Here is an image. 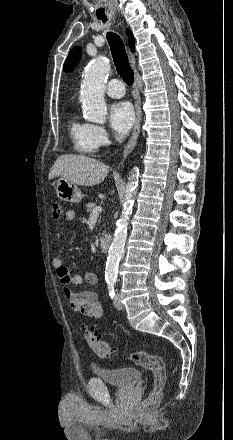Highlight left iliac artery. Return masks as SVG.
Instances as JSON below:
<instances>
[{
    "label": "left iliac artery",
    "instance_id": "1",
    "mask_svg": "<svg viewBox=\"0 0 233 440\" xmlns=\"http://www.w3.org/2000/svg\"><path fill=\"white\" fill-rule=\"evenodd\" d=\"M114 286H115V282L114 281L109 282L108 290H109V296L111 298H113L115 296Z\"/></svg>",
    "mask_w": 233,
    "mask_h": 440
}]
</instances>
